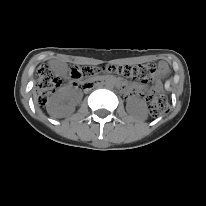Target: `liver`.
Listing matches in <instances>:
<instances>
[{"mask_svg": "<svg viewBox=\"0 0 206 206\" xmlns=\"http://www.w3.org/2000/svg\"><path fill=\"white\" fill-rule=\"evenodd\" d=\"M33 98H34L35 105H38V98H37V95H36L35 91H33ZM48 112L54 118H63L67 115L66 112H54V111H51V110H48Z\"/></svg>", "mask_w": 206, "mask_h": 206, "instance_id": "obj_1", "label": "liver"}]
</instances>
